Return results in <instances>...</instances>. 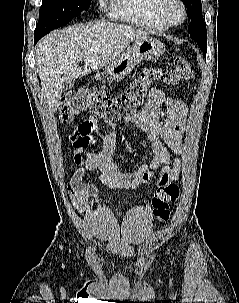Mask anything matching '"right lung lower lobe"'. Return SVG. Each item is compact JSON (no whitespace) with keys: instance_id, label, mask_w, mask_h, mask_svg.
<instances>
[{"instance_id":"right-lung-lower-lobe-1","label":"right lung lower lobe","mask_w":239,"mask_h":303,"mask_svg":"<svg viewBox=\"0 0 239 303\" xmlns=\"http://www.w3.org/2000/svg\"><path fill=\"white\" fill-rule=\"evenodd\" d=\"M46 34L47 33L45 32H34V45L38 42L39 39H41Z\"/></svg>"}]
</instances>
